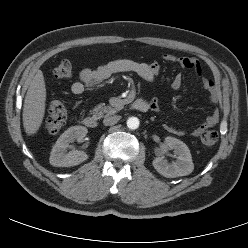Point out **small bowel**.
I'll list each match as a JSON object with an SVG mask.
<instances>
[{
    "instance_id": "c3829d8e",
    "label": "small bowel",
    "mask_w": 248,
    "mask_h": 248,
    "mask_svg": "<svg viewBox=\"0 0 248 248\" xmlns=\"http://www.w3.org/2000/svg\"><path fill=\"white\" fill-rule=\"evenodd\" d=\"M162 58L166 61L174 62L182 68L193 70L201 79L203 87L208 91L210 101L212 103H218L219 91L216 88L214 81L204 74L203 67L197 59L192 57H178L171 54L163 55ZM160 71L161 66L158 62L146 63L137 62L131 59H116L94 69H83L79 73V79L71 85V92L75 95H82L85 91L98 86L113 75L125 72L135 73L143 80L152 82L159 75ZM182 81V75L177 74L172 80V89L179 90ZM149 104L152 110H158V102L155 98L151 99ZM219 118V111H214L200 125H198L191 134L193 136L201 135L207 128L216 126L219 122ZM164 128L172 134L180 136L185 134L182 130L167 124L164 125Z\"/></svg>"
}]
</instances>
